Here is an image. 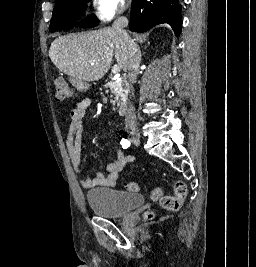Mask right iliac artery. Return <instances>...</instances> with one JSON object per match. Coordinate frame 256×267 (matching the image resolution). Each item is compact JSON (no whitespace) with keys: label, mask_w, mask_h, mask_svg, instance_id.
Instances as JSON below:
<instances>
[{"label":"right iliac artery","mask_w":256,"mask_h":267,"mask_svg":"<svg viewBox=\"0 0 256 267\" xmlns=\"http://www.w3.org/2000/svg\"><path fill=\"white\" fill-rule=\"evenodd\" d=\"M120 144L122 145V147H123L124 149H126V148H128V147L130 146L131 143H130L129 140L123 138V139L121 140Z\"/></svg>","instance_id":"82829eb1"}]
</instances>
